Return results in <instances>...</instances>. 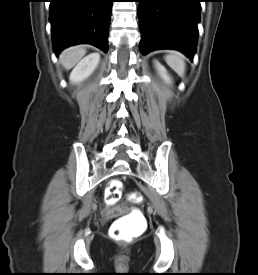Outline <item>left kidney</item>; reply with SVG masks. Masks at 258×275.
Masks as SVG:
<instances>
[{
	"label": "left kidney",
	"mask_w": 258,
	"mask_h": 275,
	"mask_svg": "<svg viewBox=\"0 0 258 275\" xmlns=\"http://www.w3.org/2000/svg\"><path fill=\"white\" fill-rule=\"evenodd\" d=\"M155 63V67L157 69L158 74L160 75V77L167 83V84H171L172 80L170 78V76L168 75L165 67L163 65H161L158 61H154Z\"/></svg>",
	"instance_id": "obj_1"
}]
</instances>
